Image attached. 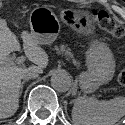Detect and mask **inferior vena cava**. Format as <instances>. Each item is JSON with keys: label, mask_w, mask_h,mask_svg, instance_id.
Instances as JSON below:
<instances>
[{"label": "inferior vena cava", "mask_w": 125, "mask_h": 125, "mask_svg": "<svg viewBox=\"0 0 125 125\" xmlns=\"http://www.w3.org/2000/svg\"><path fill=\"white\" fill-rule=\"evenodd\" d=\"M39 76V73L36 71H29L23 75V79L29 80V79H35Z\"/></svg>", "instance_id": "inferior-vena-cava-1"}]
</instances>
